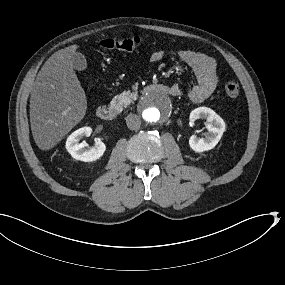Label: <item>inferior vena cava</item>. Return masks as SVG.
<instances>
[{
  "label": "inferior vena cava",
  "instance_id": "obj_1",
  "mask_svg": "<svg viewBox=\"0 0 285 285\" xmlns=\"http://www.w3.org/2000/svg\"><path fill=\"white\" fill-rule=\"evenodd\" d=\"M126 124L130 130H136L141 125V119L138 115L130 114L126 117Z\"/></svg>",
  "mask_w": 285,
  "mask_h": 285
}]
</instances>
